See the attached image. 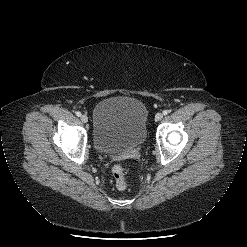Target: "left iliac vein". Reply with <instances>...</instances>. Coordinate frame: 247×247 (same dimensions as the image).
Segmentation results:
<instances>
[{"instance_id":"obj_1","label":"left iliac vein","mask_w":247,"mask_h":247,"mask_svg":"<svg viewBox=\"0 0 247 247\" xmlns=\"http://www.w3.org/2000/svg\"><path fill=\"white\" fill-rule=\"evenodd\" d=\"M162 118H163V114H162V113H157V114L155 115V120H156V121H160Z\"/></svg>"}]
</instances>
